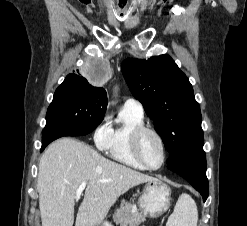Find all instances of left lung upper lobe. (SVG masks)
Returning a JSON list of instances; mask_svg holds the SVG:
<instances>
[{
    "mask_svg": "<svg viewBox=\"0 0 247 226\" xmlns=\"http://www.w3.org/2000/svg\"><path fill=\"white\" fill-rule=\"evenodd\" d=\"M122 73L170 156L203 145L200 106L188 78L170 56L127 58Z\"/></svg>",
    "mask_w": 247,
    "mask_h": 226,
    "instance_id": "5c2ea615",
    "label": "left lung upper lobe"
}]
</instances>
